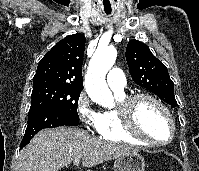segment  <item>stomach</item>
Masks as SVG:
<instances>
[{"label":"stomach","mask_w":199,"mask_h":171,"mask_svg":"<svg viewBox=\"0 0 199 171\" xmlns=\"http://www.w3.org/2000/svg\"><path fill=\"white\" fill-rule=\"evenodd\" d=\"M114 171H145V160L138 153L119 156L114 161Z\"/></svg>","instance_id":"stomach-1"}]
</instances>
